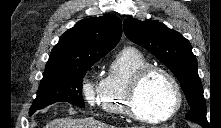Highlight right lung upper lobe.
I'll use <instances>...</instances> for the list:
<instances>
[{
  "instance_id": "1",
  "label": "right lung upper lobe",
  "mask_w": 221,
  "mask_h": 128,
  "mask_svg": "<svg viewBox=\"0 0 221 128\" xmlns=\"http://www.w3.org/2000/svg\"><path fill=\"white\" fill-rule=\"evenodd\" d=\"M122 36V23L113 15L87 18L67 30L52 49L45 71L102 58Z\"/></svg>"
}]
</instances>
